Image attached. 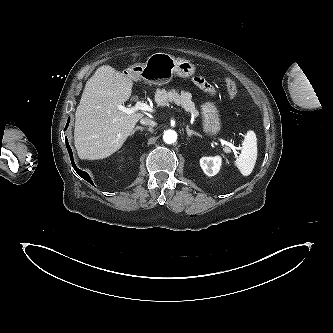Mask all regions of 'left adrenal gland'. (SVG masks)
<instances>
[{"label": "left adrenal gland", "instance_id": "left-adrenal-gland-1", "mask_svg": "<svg viewBox=\"0 0 333 333\" xmlns=\"http://www.w3.org/2000/svg\"><path fill=\"white\" fill-rule=\"evenodd\" d=\"M186 131L189 137H191L192 135H196L198 137H202L199 133L189 129V126L186 127Z\"/></svg>", "mask_w": 333, "mask_h": 333}]
</instances>
